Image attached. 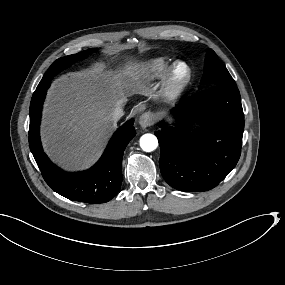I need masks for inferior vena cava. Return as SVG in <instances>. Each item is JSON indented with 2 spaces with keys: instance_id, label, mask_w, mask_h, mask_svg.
Returning <instances> with one entry per match:
<instances>
[{
  "instance_id": "602c4592",
  "label": "inferior vena cava",
  "mask_w": 285,
  "mask_h": 285,
  "mask_svg": "<svg viewBox=\"0 0 285 285\" xmlns=\"http://www.w3.org/2000/svg\"><path fill=\"white\" fill-rule=\"evenodd\" d=\"M128 100L125 101L127 103ZM124 103V102H123ZM121 104L120 106L116 107L112 113V121L117 122L119 118H121L124 115L123 106L124 104Z\"/></svg>"
}]
</instances>
